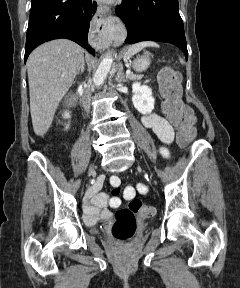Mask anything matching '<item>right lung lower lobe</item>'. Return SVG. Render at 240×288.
<instances>
[{
  "label": "right lung lower lobe",
  "mask_w": 240,
  "mask_h": 288,
  "mask_svg": "<svg viewBox=\"0 0 240 288\" xmlns=\"http://www.w3.org/2000/svg\"><path fill=\"white\" fill-rule=\"evenodd\" d=\"M96 8L97 3L92 0H32L25 62L38 45L58 38L75 41L94 54L87 35Z\"/></svg>",
  "instance_id": "right-lung-lower-lobe-1"
}]
</instances>
